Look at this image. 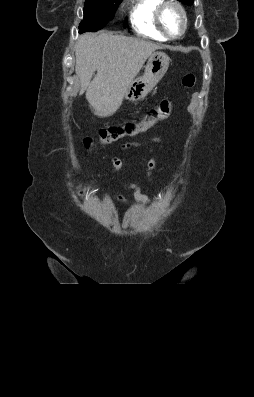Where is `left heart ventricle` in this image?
I'll list each match as a JSON object with an SVG mask.
<instances>
[{"mask_svg":"<svg viewBox=\"0 0 254 397\" xmlns=\"http://www.w3.org/2000/svg\"><path fill=\"white\" fill-rule=\"evenodd\" d=\"M163 24L171 35H178L182 29V19L177 9L168 7L163 13Z\"/></svg>","mask_w":254,"mask_h":397,"instance_id":"left-heart-ventricle-1","label":"left heart ventricle"}]
</instances>
